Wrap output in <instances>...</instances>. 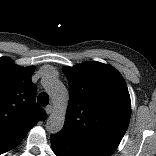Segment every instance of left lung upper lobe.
Here are the masks:
<instances>
[{
	"label": "left lung upper lobe",
	"instance_id": "obj_1",
	"mask_svg": "<svg viewBox=\"0 0 156 156\" xmlns=\"http://www.w3.org/2000/svg\"><path fill=\"white\" fill-rule=\"evenodd\" d=\"M69 105L60 134L111 155L122 140L131 102L122 75L112 66L85 62L64 67Z\"/></svg>",
	"mask_w": 156,
	"mask_h": 156
}]
</instances>
